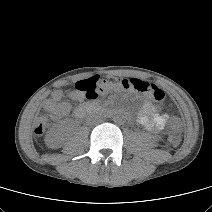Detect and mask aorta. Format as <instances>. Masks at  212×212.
Masks as SVG:
<instances>
[{"mask_svg":"<svg viewBox=\"0 0 212 212\" xmlns=\"http://www.w3.org/2000/svg\"><path fill=\"white\" fill-rule=\"evenodd\" d=\"M113 120L115 122H121L122 121V114L121 113H116L114 116H113Z\"/></svg>","mask_w":212,"mask_h":212,"instance_id":"762f6f07","label":"aorta"}]
</instances>
